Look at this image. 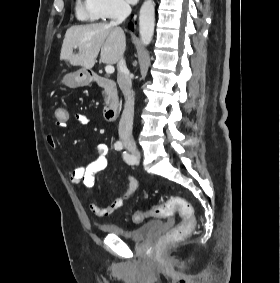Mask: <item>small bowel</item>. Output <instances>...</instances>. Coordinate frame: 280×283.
Wrapping results in <instances>:
<instances>
[{"mask_svg":"<svg viewBox=\"0 0 280 283\" xmlns=\"http://www.w3.org/2000/svg\"><path fill=\"white\" fill-rule=\"evenodd\" d=\"M76 121L80 125H86L89 122L88 117L83 113L74 114ZM67 122H56L58 128H64ZM47 145L55 150L57 147L56 137L53 133H48L45 137ZM97 156L87 162L85 165L74 167L68 170V176L72 183L82 184L86 188H91L94 185L95 175L104 171L108 166L107 146L99 144L96 147ZM138 181L134 177L128 178V184L123 194L114 199L105 207L100 206L95 202L89 204L90 210L98 217H108L120 209L123 204L136 192Z\"/></svg>","mask_w":280,"mask_h":283,"instance_id":"obj_1","label":"small bowel"}]
</instances>
